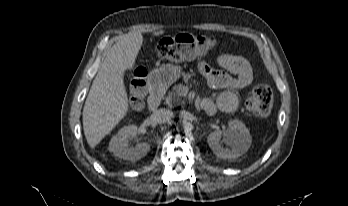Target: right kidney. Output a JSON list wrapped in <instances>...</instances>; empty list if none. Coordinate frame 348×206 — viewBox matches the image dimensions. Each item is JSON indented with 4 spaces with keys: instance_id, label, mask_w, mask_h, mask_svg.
<instances>
[{
    "instance_id": "obj_1",
    "label": "right kidney",
    "mask_w": 348,
    "mask_h": 206,
    "mask_svg": "<svg viewBox=\"0 0 348 206\" xmlns=\"http://www.w3.org/2000/svg\"><path fill=\"white\" fill-rule=\"evenodd\" d=\"M138 128L136 125H129L121 128L118 133L112 137L109 143V150L117 157L124 160L136 161L144 157L150 150V145L146 142L138 143L131 148L128 145V139L137 136Z\"/></svg>"
}]
</instances>
